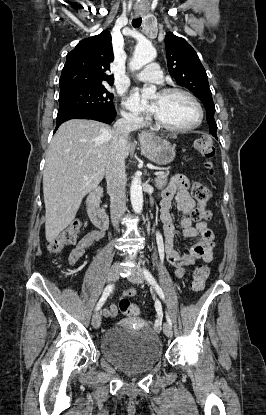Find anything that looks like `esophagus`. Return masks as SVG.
Segmentation results:
<instances>
[{
    "label": "esophagus",
    "instance_id": "1",
    "mask_svg": "<svg viewBox=\"0 0 266 415\" xmlns=\"http://www.w3.org/2000/svg\"><path fill=\"white\" fill-rule=\"evenodd\" d=\"M149 137V133H147V132H142L140 135H139V139H141V140H144V139H146V138H148Z\"/></svg>",
    "mask_w": 266,
    "mask_h": 415
}]
</instances>
